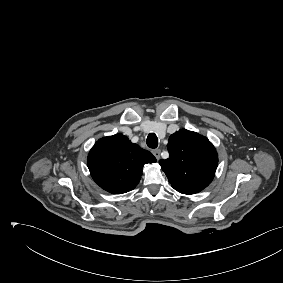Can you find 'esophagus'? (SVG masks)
Instances as JSON below:
<instances>
[{"label":"esophagus","mask_w":283,"mask_h":283,"mask_svg":"<svg viewBox=\"0 0 283 283\" xmlns=\"http://www.w3.org/2000/svg\"><path fill=\"white\" fill-rule=\"evenodd\" d=\"M160 153H161L160 149L153 150V155L156 157L157 160L160 159Z\"/></svg>","instance_id":"34e87169"}]
</instances>
